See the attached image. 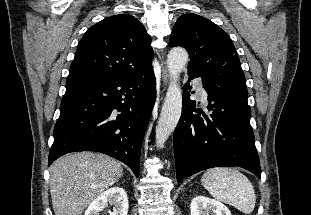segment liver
<instances>
[{
	"label": "liver",
	"mask_w": 311,
	"mask_h": 215,
	"mask_svg": "<svg viewBox=\"0 0 311 215\" xmlns=\"http://www.w3.org/2000/svg\"><path fill=\"white\" fill-rule=\"evenodd\" d=\"M122 175L121 164L104 154L77 152L57 159L49 181L55 215H82Z\"/></svg>",
	"instance_id": "liver-1"
}]
</instances>
